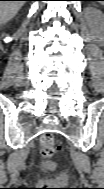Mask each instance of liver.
I'll list each match as a JSON object with an SVG mask.
<instances>
[{
  "instance_id": "6515ba94",
  "label": "liver",
  "mask_w": 104,
  "mask_h": 189,
  "mask_svg": "<svg viewBox=\"0 0 104 189\" xmlns=\"http://www.w3.org/2000/svg\"><path fill=\"white\" fill-rule=\"evenodd\" d=\"M24 1H1L0 2V22L5 24L11 20L23 6Z\"/></svg>"
}]
</instances>
